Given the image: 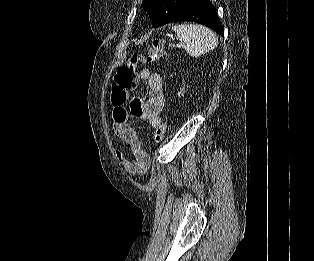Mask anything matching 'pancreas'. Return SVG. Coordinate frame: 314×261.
<instances>
[{
  "label": "pancreas",
  "mask_w": 314,
  "mask_h": 261,
  "mask_svg": "<svg viewBox=\"0 0 314 261\" xmlns=\"http://www.w3.org/2000/svg\"><path fill=\"white\" fill-rule=\"evenodd\" d=\"M174 45L173 44H169V47H173Z\"/></svg>",
  "instance_id": "obj_1"
}]
</instances>
